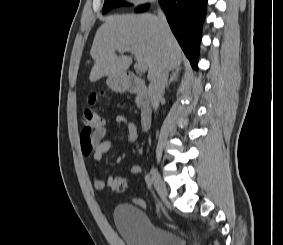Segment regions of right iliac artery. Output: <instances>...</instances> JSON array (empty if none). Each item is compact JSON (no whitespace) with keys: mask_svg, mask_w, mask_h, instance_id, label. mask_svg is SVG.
Returning a JSON list of instances; mask_svg holds the SVG:
<instances>
[{"mask_svg":"<svg viewBox=\"0 0 283 245\" xmlns=\"http://www.w3.org/2000/svg\"><path fill=\"white\" fill-rule=\"evenodd\" d=\"M145 182H146L148 188L151 189V188H152V185H153V180H152V178H151V176H150L149 174H146V176H145ZM157 210L159 211V204H157Z\"/></svg>","mask_w":283,"mask_h":245,"instance_id":"82829eb1","label":"right iliac artery"}]
</instances>
